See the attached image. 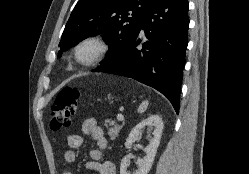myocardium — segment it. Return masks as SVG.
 Masks as SVG:
<instances>
[{"instance_id":"obj_1","label":"myocardium","mask_w":249,"mask_h":174,"mask_svg":"<svg viewBox=\"0 0 249 174\" xmlns=\"http://www.w3.org/2000/svg\"><path fill=\"white\" fill-rule=\"evenodd\" d=\"M92 44L96 46L97 52L94 56L84 59L80 55L82 47L85 45ZM110 45L108 41L99 34H92L82 38L75 46L74 55L76 60L84 66H92L101 62L109 53Z\"/></svg>"}]
</instances>
